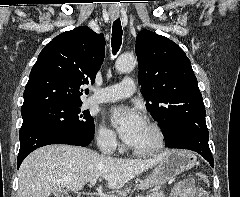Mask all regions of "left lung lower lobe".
Masks as SVG:
<instances>
[{"label": "left lung lower lobe", "mask_w": 240, "mask_h": 197, "mask_svg": "<svg viewBox=\"0 0 240 197\" xmlns=\"http://www.w3.org/2000/svg\"><path fill=\"white\" fill-rule=\"evenodd\" d=\"M168 148L188 149L198 152L214 167L208 140L203 100H192L180 114L168 116L162 122Z\"/></svg>", "instance_id": "left-lung-lower-lobe-1"}]
</instances>
